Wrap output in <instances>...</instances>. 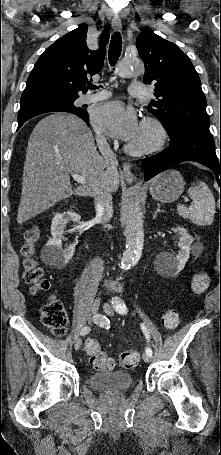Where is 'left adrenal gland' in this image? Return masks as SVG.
<instances>
[{
    "mask_svg": "<svg viewBox=\"0 0 221 455\" xmlns=\"http://www.w3.org/2000/svg\"><path fill=\"white\" fill-rule=\"evenodd\" d=\"M157 206H158V207H157L156 211H155L154 214H153V219L156 218V216H157L158 213L164 212L163 210L160 209V204H158Z\"/></svg>",
    "mask_w": 221,
    "mask_h": 455,
    "instance_id": "a2214340",
    "label": "left adrenal gland"
}]
</instances>
